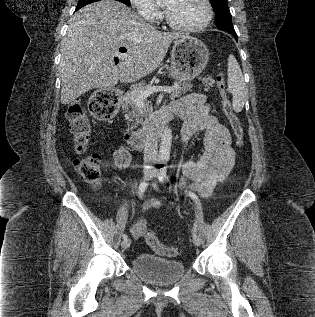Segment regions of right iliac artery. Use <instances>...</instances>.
Here are the masks:
<instances>
[{"label":"right iliac artery","instance_id":"1","mask_svg":"<svg viewBox=\"0 0 315 317\" xmlns=\"http://www.w3.org/2000/svg\"><path fill=\"white\" fill-rule=\"evenodd\" d=\"M147 186H148V182L146 181H143L140 186H139V190H138V194L140 197L143 196L144 192L146 191L147 189ZM123 239H127V235L126 234H123L122 235Z\"/></svg>","mask_w":315,"mask_h":317}]
</instances>
